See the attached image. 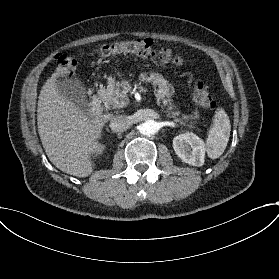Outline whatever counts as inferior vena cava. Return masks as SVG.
Wrapping results in <instances>:
<instances>
[{
	"instance_id": "inferior-vena-cava-1",
	"label": "inferior vena cava",
	"mask_w": 279,
	"mask_h": 279,
	"mask_svg": "<svg viewBox=\"0 0 279 279\" xmlns=\"http://www.w3.org/2000/svg\"><path fill=\"white\" fill-rule=\"evenodd\" d=\"M131 125L128 116L117 115L110 120V129L113 132H123L128 130Z\"/></svg>"
}]
</instances>
